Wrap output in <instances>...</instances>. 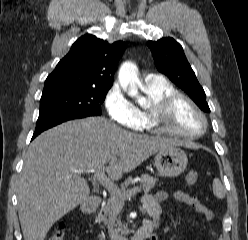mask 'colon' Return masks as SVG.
Instances as JSON below:
<instances>
[{
	"mask_svg": "<svg viewBox=\"0 0 248 240\" xmlns=\"http://www.w3.org/2000/svg\"><path fill=\"white\" fill-rule=\"evenodd\" d=\"M198 181V173L190 171L186 175V182L189 185H194ZM48 240H64L63 225H61Z\"/></svg>",
	"mask_w": 248,
	"mask_h": 240,
	"instance_id": "obj_1",
	"label": "colon"
}]
</instances>
